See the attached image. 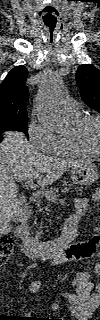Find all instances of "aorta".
I'll return each mask as SVG.
<instances>
[{"mask_svg":"<svg viewBox=\"0 0 100 320\" xmlns=\"http://www.w3.org/2000/svg\"><path fill=\"white\" fill-rule=\"evenodd\" d=\"M62 92L61 78L52 74L43 80L37 94L36 112L38 118L54 131L64 129L68 125L67 119L58 108V100Z\"/></svg>","mask_w":100,"mask_h":320,"instance_id":"1","label":"aorta"}]
</instances>
